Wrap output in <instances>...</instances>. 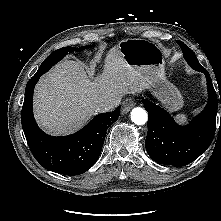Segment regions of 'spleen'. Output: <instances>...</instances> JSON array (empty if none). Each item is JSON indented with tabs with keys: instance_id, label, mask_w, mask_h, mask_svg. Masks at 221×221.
Instances as JSON below:
<instances>
[{
	"instance_id": "spleen-1",
	"label": "spleen",
	"mask_w": 221,
	"mask_h": 221,
	"mask_svg": "<svg viewBox=\"0 0 221 221\" xmlns=\"http://www.w3.org/2000/svg\"><path fill=\"white\" fill-rule=\"evenodd\" d=\"M180 122H186L187 121V116L184 114L177 115L176 117Z\"/></svg>"
}]
</instances>
